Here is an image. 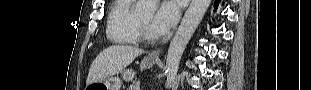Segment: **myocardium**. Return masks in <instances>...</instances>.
Masks as SVG:
<instances>
[{
	"mask_svg": "<svg viewBox=\"0 0 311 90\" xmlns=\"http://www.w3.org/2000/svg\"><path fill=\"white\" fill-rule=\"evenodd\" d=\"M138 21V29H139V35L140 39L144 42L148 43H154L158 40L159 36L154 35L149 27L142 21L140 17L137 18Z\"/></svg>",
	"mask_w": 311,
	"mask_h": 90,
	"instance_id": "1",
	"label": "myocardium"
}]
</instances>
